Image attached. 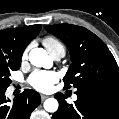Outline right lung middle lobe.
<instances>
[{
  "mask_svg": "<svg viewBox=\"0 0 119 119\" xmlns=\"http://www.w3.org/2000/svg\"><path fill=\"white\" fill-rule=\"evenodd\" d=\"M19 65L0 64V90H5L11 84L10 73L18 70Z\"/></svg>",
  "mask_w": 119,
  "mask_h": 119,
  "instance_id": "obj_1",
  "label": "right lung middle lobe"
}]
</instances>
